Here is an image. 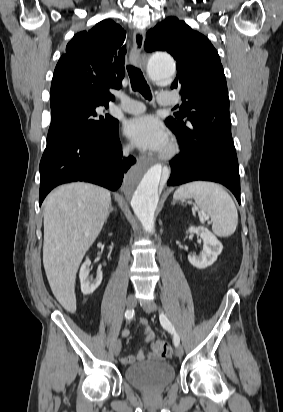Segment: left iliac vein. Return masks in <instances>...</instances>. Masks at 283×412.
Instances as JSON below:
<instances>
[{"instance_id":"1","label":"left iliac vein","mask_w":283,"mask_h":412,"mask_svg":"<svg viewBox=\"0 0 283 412\" xmlns=\"http://www.w3.org/2000/svg\"><path fill=\"white\" fill-rule=\"evenodd\" d=\"M143 309L147 313H153L154 311L157 310V305L153 301H147V302L143 303ZM175 354L179 358H181L183 356V349L180 345L176 346Z\"/></svg>"}]
</instances>
